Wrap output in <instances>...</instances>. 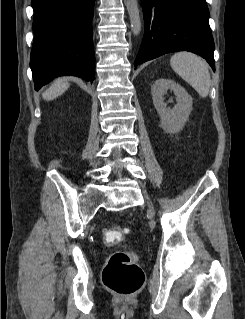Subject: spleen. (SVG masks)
Here are the masks:
<instances>
[{
    "label": "spleen",
    "instance_id": "1",
    "mask_svg": "<svg viewBox=\"0 0 245 319\" xmlns=\"http://www.w3.org/2000/svg\"><path fill=\"white\" fill-rule=\"evenodd\" d=\"M170 65L201 97H207L211 77L208 64L203 58L186 51L178 52L171 57Z\"/></svg>",
    "mask_w": 245,
    "mask_h": 319
}]
</instances>
